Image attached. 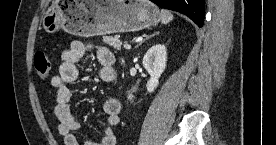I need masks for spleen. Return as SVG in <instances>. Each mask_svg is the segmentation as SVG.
I'll return each mask as SVG.
<instances>
[{
  "label": "spleen",
  "instance_id": "3e777b00",
  "mask_svg": "<svg viewBox=\"0 0 276 145\" xmlns=\"http://www.w3.org/2000/svg\"><path fill=\"white\" fill-rule=\"evenodd\" d=\"M160 20L162 24H167L173 20V15L169 11L162 9L160 12Z\"/></svg>",
  "mask_w": 276,
  "mask_h": 145
}]
</instances>
